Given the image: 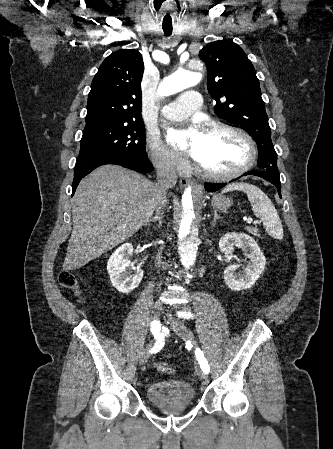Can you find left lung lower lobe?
I'll use <instances>...</instances> for the list:
<instances>
[{
	"mask_svg": "<svg viewBox=\"0 0 333 449\" xmlns=\"http://www.w3.org/2000/svg\"><path fill=\"white\" fill-rule=\"evenodd\" d=\"M246 175H255V176H258V177H262L265 180L271 182L272 184H274L277 187L279 196L281 197V183H280V176L279 175H275V174L269 173L267 171H261V170L249 171V172L244 174V176H246ZM225 185H226V183L225 184H209V183H206L205 184V189L208 192H215L218 189L224 187Z\"/></svg>",
	"mask_w": 333,
	"mask_h": 449,
	"instance_id": "obj_1",
	"label": "left lung lower lobe"
}]
</instances>
